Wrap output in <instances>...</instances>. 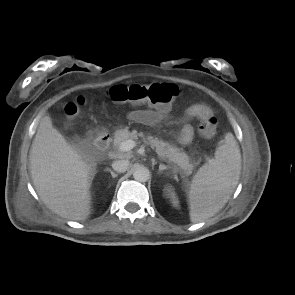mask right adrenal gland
<instances>
[{"mask_svg":"<svg viewBox=\"0 0 295 295\" xmlns=\"http://www.w3.org/2000/svg\"><path fill=\"white\" fill-rule=\"evenodd\" d=\"M105 171L109 172L112 176V178H116L118 176L117 173H115L112 169L106 168Z\"/></svg>","mask_w":295,"mask_h":295,"instance_id":"obj_1","label":"right adrenal gland"}]
</instances>
